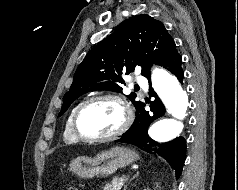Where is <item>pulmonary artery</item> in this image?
<instances>
[{
	"mask_svg": "<svg viewBox=\"0 0 238 190\" xmlns=\"http://www.w3.org/2000/svg\"><path fill=\"white\" fill-rule=\"evenodd\" d=\"M136 83L139 85V86H141L142 88H146L147 87V82H146V80L143 78V77H141V76H137L136 77Z\"/></svg>",
	"mask_w": 238,
	"mask_h": 190,
	"instance_id": "e3ab8cb5",
	"label": "pulmonary artery"
}]
</instances>
